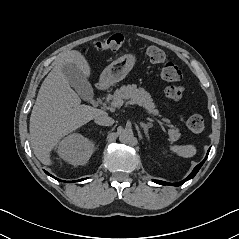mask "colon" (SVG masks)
<instances>
[{
  "mask_svg": "<svg viewBox=\"0 0 239 239\" xmlns=\"http://www.w3.org/2000/svg\"><path fill=\"white\" fill-rule=\"evenodd\" d=\"M128 41L119 34L112 35L104 40L94 42L91 48L98 52L118 51L125 48ZM90 47H85L84 52L89 51ZM146 55L153 63L160 64L161 77L169 83L165 88L164 96L167 102L179 101L184 95V87L180 81L182 72L179 66L168 59L165 52L155 46L146 49ZM187 126L193 133H201L205 128L204 118L199 114L191 115L187 120Z\"/></svg>",
  "mask_w": 239,
  "mask_h": 239,
  "instance_id": "colon-1",
  "label": "colon"
}]
</instances>
